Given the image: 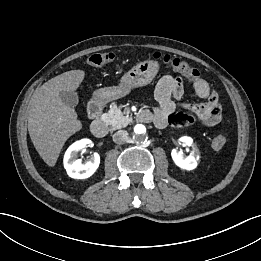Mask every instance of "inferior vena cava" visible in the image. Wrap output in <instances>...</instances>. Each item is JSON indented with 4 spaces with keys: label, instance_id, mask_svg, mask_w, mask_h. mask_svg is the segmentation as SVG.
Instances as JSON below:
<instances>
[{
    "label": "inferior vena cava",
    "instance_id": "inferior-vena-cava-1",
    "mask_svg": "<svg viewBox=\"0 0 261 261\" xmlns=\"http://www.w3.org/2000/svg\"><path fill=\"white\" fill-rule=\"evenodd\" d=\"M112 138L115 143L123 144L128 138V132L125 130H119L113 134Z\"/></svg>",
    "mask_w": 261,
    "mask_h": 261
}]
</instances>
